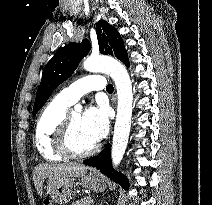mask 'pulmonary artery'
Instances as JSON below:
<instances>
[{
  "instance_id": "obj_1",
  "label": "pulmonary artery",
  "mask_w": 212,
  "mask_h": 205,
  "mask_svg": "<svg viewBox=\"0 0 212 205\" xmlns=\"http://www.w3.org/2000/svg\"><path fill=\"white\" fill-rule=\"evenodd\" d=\"M105 87L106 83L102 75H88L63 88L57 97L68 104H73L84 94L95 90H102Z\"/></svg>"
}]
</instances>
